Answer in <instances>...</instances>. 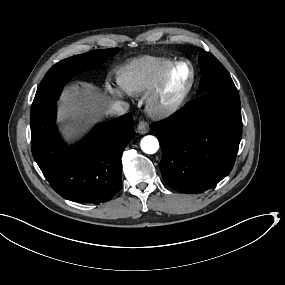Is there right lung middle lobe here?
Wrapping results in <instances>:
<instances>
[{
  "label": "right lung middle lobe",
  "instance_id": "obj_1",
  "mask_svg": "<svg viewBox=\"0 0 285 285\" xmlns=\"http://www.w3.org/2000/svg\"><path fill=\"white\" fill-rule=\"evenodd\" d=\"M119 48L94 50L85 54L75 55L53 65L42 79L37 92L40 93L56 86L75 74L96 67L114 56Z\"/></svg>",
  "mask_w": 285,
  "mask_h": 285
}]
</instances>
